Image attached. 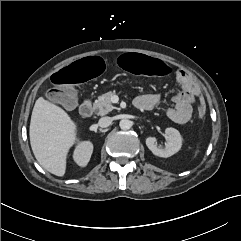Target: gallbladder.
I'll use <instances>...</instances> for the list:
<instances>
[{
    "instance_id": "1",
    "label": "gallbladder",
    "mask_w": 241,
    "mask_h": 241,
    "mask_svg": "<svg viewBox=\"0 0 241 241\" xmlns=\"http://www.w3.org/2000/svg\"><path fill=\"white\" fill-rule=\"evenodd\" d=\"M71 99H72V106L73 108L77 105V97H76V91L72 89L71 91Z\"/></svg>"
}]
</instances>
